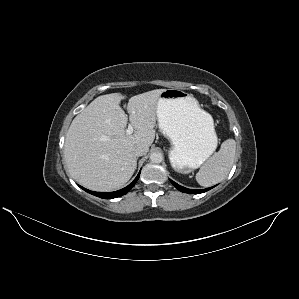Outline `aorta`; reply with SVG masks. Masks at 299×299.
Instances as JSON below:
<instances>
[{"mask_svg":"<svg viewBox=\"0 0 299 299\" xmlns=\"http://www.w3.org/2000/svg\"><path fill=\"white\" fill-rule=\"evenodd\" d=\"M150 161L152 163H161L163 161V155L160 152H153L150 155Z\"/></svg>","mask_w":299,"mask_h":299,"instance_id":"762f6f07","label":"aorta"}]
</instances>
